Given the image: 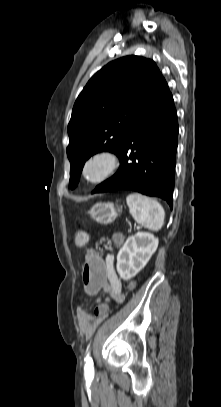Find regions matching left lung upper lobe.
<instances>
[{"label": "left lung upper lobe", "instance_id": "left-lung-upper-lobe-1", "mask_svg": "<svg viewBox=\"0 0 221 407\" xmlns=\"http://www.w3.org/2000/svg\"><path fill=\"white\" fill-rule=\"evenodd\" d=\"M162 79L154 61L133 55L108 63L92 76L68 124L72 189L90 156L101 151L119 154L132 122Z\"/></svg>", "mask_w": 221, "mask_h": 407}]
</instances>
